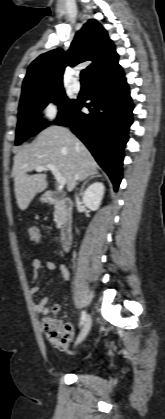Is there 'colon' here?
Masks as SVG:
<instances>
[{
	"label": "colon",
	"instance_id": "obj_1",
	"mask_svg": "<svg viewBox=\"0 0 165 419\" xmlns=\"http://www.w3.org/2000/svg\"><path fill=\"white\" fill-rule=\"evenodd\" d=\"M28 233L32 241L38 242L41 240V232L38 228L30 227ZM41 329L43 334L55 345H64L71 341L72 330L70 326L55 319H43Z\"/></svg>",
	"mask_w": 165,
	"mask_h": 419
}]
</instances>
